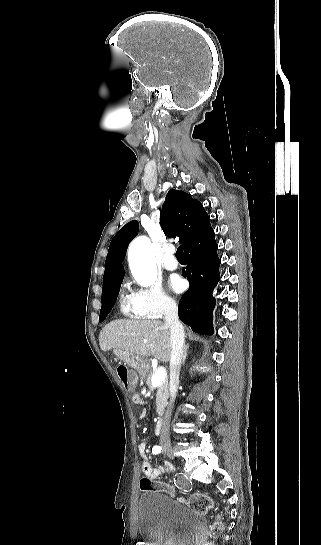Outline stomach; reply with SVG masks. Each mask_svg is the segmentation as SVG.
I'll use <instances>...</instances> for the list:
<instances>
[{
	"label": "stomach",
	"instance_id": "obj_1",
	"mask_svg": "<svg viewBox=\"0 0 321 545\" xmlns=\"http://www.w3.org/2000/svg\"><path fill=\"white\" fill-rule=\"evenodd\" d=\"M113 353L119 361L126 363L128 367L137 371L139 375H144L150 367L149 359H147V357H139V355H133L130 351H119V349H114Z\"/></svg>",
	"mask_w": 321,
	"mask_h": 545
}]
</instances>
